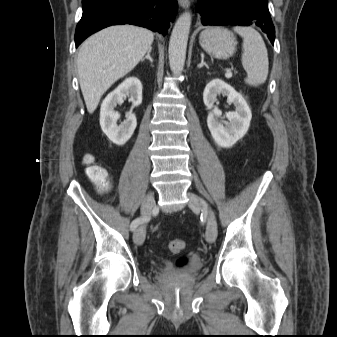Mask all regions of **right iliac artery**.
<instances>
[{
	"label": "right iliac artery",
	"instance_id": "right-iliac-artery-1",
	"mask_svg": "<svg viewBox=\"0 0 337 337\" xmlns=\"http://www.w3.org/2000/svg\"><path fill=\"white\" fill-rule=\"evenodd\" d=\"M147 218L145 217H138L136 219H134L130 225V230L131 231H134L138 226L139 224H141L142 222L146 221Z\"/></svg>",
	"mask_w": 337,
	"mask_h": 337
}]
</instances>
